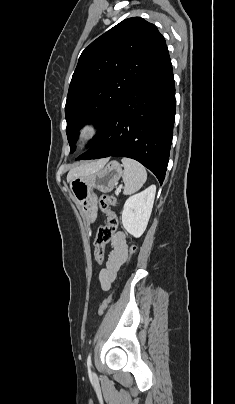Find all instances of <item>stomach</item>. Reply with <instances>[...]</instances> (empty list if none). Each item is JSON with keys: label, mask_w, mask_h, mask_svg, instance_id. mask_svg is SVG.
<instances>
[{"label": "stomach", "mask_w": 235, "mask_h": 404, "mask_svg": "<svg viewBox=\"0 0 235 404\" xmlns=\"http://www.w3.org/2000/svg\"><path fill=\"white\" fill-rule=\"evenodd\" d=\"M122 176V165L116 161H107L96 172L76 177L70 181L74 200L87 223L97 217V196L94 190L102 193L111 192Z\"/></svg>", "instance_id": "stomach-1"}]
</instances>
